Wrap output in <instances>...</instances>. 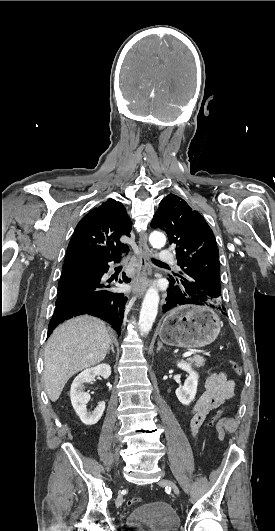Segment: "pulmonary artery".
<instances>
[{
	"label": "pulmonary artery",
	"mask_w": 275,
	"mask_h": 531,
	"mask_svg": "<svg viewBox=\"0 0 275 531\" xmlns=\"http://www.w3.org/2000/svg\"><path fill=\"white\" fill-rule=\"evenodd\" d=\"M156 256L157 258L161 259V261L163 263H166L168 265H171L172 266H175V257H174V253L172 250L170 249H161L159 251H157L156 253Z\"/></svg>",
	"instance_id": "pulmonary-artery-1"
}]
</instances>
